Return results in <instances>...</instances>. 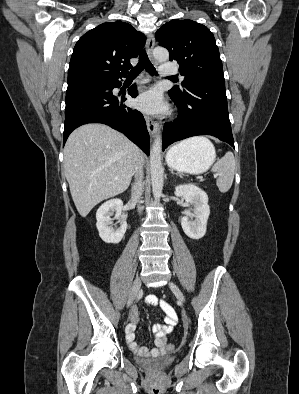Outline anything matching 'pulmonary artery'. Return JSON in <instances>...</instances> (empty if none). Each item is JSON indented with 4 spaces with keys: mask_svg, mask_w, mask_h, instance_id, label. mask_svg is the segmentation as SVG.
Masks as SVG:
<instances>
[{
    "mask_svg": "<svg viewBox=\"0 0 299 394\" xmlns=\"http://www.w3.org/2000/svg\"><path fill=\"white\" fill-rule=\"evenodd\" d=\"M159 70H160V75L163 77L177 74V70L173 68L170 64H162Z\"/></svg>",
    "mask_w": 299,
    "mask_h": 394,
    "instance_id": "e3ab8cb5",
    "label": "pulmonary artery"
}]
</instances>
